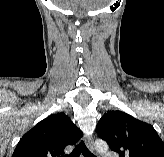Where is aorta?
Instances as JSON below:
<instances>
[{"label": "aorta", "instance_id": "762f6f07", "mask_svg": "<svg viewBox=\"0 0 164 157\" xmlns=\"http://www.w3.org/2000/svg\"><path fill=\"white\" fill-rule=\"evenodd\" d=\"M95 148L101 155H103L108 151V144L103 140H97L95 142Z\"/></svg>", "mask_w": 164, "mask_h": 157}]
</instances>
